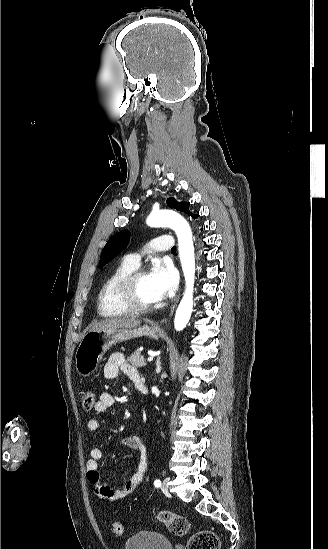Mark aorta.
Listing matches in <instances>:
<instances>
[{
	"mask_svg": "<svg viewBox=\"0 0 328 549\" xmlns=\"http://www.w3.org/2000/svg\"><path fill=\"white\" fill-rule=\"evenodd\" d=\"M147 224L151 227H170L178 237L179 255L186 288L175 314L174 327L176 331H181L186 327L193 311L195 255L192 231L180 214L167 209L152 212L147 219Z\"/></svg>",
	"mask_w": 328,
	"mask_h": 549,
	"instance_id": "aorta-1",
	"label": "aorta"
}]
</instances>
